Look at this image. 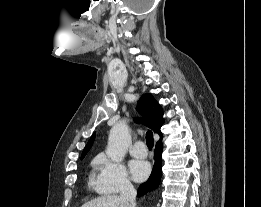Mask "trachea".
<instances>
[{"label": "trachea", "instance_id": "3493384b", "mask_svg": "<svg viewBox=\"0 0 261 207\" xmlns=\"http://www.w3.org/2000/svg\"><path fill=\"white\" fill-rule=\"evenodd\" d=\"M146 143L149 147V149H152L154 146V138H153V133L152 131H147L146 133Z\"/></svg>", "mask_w": 261, "mask_h": 207}]
</instances>
